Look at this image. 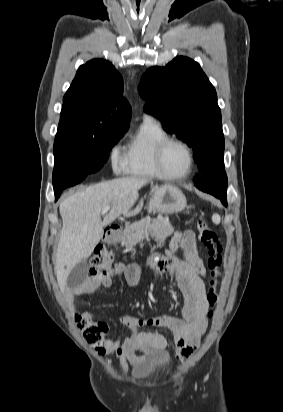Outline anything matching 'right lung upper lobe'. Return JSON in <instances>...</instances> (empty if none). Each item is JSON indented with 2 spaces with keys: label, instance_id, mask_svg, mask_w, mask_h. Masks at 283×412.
Returning a JSON list of instances; mask_svg holds the SVG:
<instances>
[{
  "label": "right lung upper lobe",
  "instance_id": "cb5924a9",
  "mask_svg": "<svg viewBox=\"0 0 283 412\" xmlns=\"http://www.w3.org/2000/svg\"><path fill=\"white\" fill-rule=\"evenodd\" d=\"M123 79L115 67L94 59L79 67L63 98L60 120L71 119L95 133L126 132L131 107L121 95Z\"/></svg>",
  "mask_w": 283,
  "mask_h": 412
}]
</instances>
